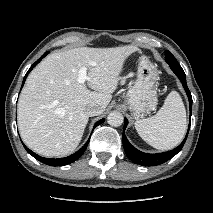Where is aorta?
<instances>
[{
	"label": "aorta",
	"instance_id": "762f6f07",
	"mask_svg": "<svg viewBox=\"0 0 213 213\" xmlns=\"http://www.w3.org/2000/svg\"><path fill=\"white\" fill-rule=\"evenodd\" d=\"M107 122L112 127H119L124 122V117L120 112L113 111L109 113Z\"/></svg>",
	"mask_w": 213,
	"mask_h": 213
}]
</instances>
